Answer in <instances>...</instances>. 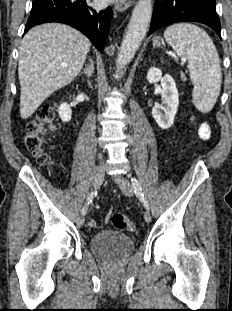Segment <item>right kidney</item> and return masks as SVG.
Instances as JSON below:
<instances>
[{
	"instance_id": "1",
	"label": "right kidney",
	"mask_w": 232,
	"mask_h": 311,
	"mask_svg": "<svg viewBox=\"0 0 232 311\" xmlns=\"http://www.w3.org/2000/svg\"><path fill=\"white\" fill-rule=\"evenodd\" d=\"M58 113L63 122H68L71 120L72 111L70 105L67 103H62L60 105Z\"/></svg>"
}]
</instances>
